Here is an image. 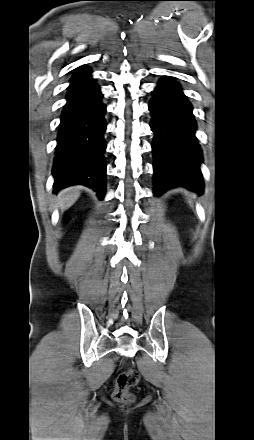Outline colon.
<instances>
[{
	"instance_id": "5ec220e1",
	"label": "colon",
	"mask_w": 254,
	"mask_h": 440,
	"mask_svg": "<svg viewBox=\"0 0 254 440\" xmlns=\"http://www.w3.org/2000/svg\"><path fill=\"white\" fill-rule=\"evenodd\" d=\"M139 381V374L134 369L121 372L115 381L113 398L121 403H129L133 400L130 389L135 387Z\"/></svg>"
}]
</instances>
